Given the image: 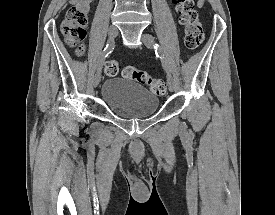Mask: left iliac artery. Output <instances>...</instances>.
I'll return each mask as SVG.
<instances>
[{
	"label": "left iliac artery",
	"instance_id": "left-iliac-artery-1",
	"mask_svg": "<svg viewBox=\"0 0 275 215\" xmlns=\"http://www.w3.org/2000/svg\"><path fill=\"white\" fill-rule=\"evenodd\" d=\"M154 49H155V53L158 57H160L161 61H162V65H163V68L164 70L169 74L170 73V69H169V66H168V63L164 57V54L160 48V46L158 44H155L154 45Z\"/></svg>",
	"mask_w": 275,
	"mask_h": 215
}]
</instances>
